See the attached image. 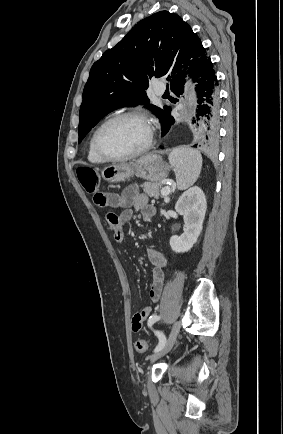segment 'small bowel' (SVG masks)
Returning <instances> with one entry per match:
<instances>
[{"mask_svg": "<svg viewBox=\"0 0 283 434\" xmlns=\"http://www.w3.org/2000/svg\"><path fill=\"white\" fill-rule=\"evenodd\" d=\"M94 203L98 207L108 208L106 222L117 243H121L124 239L123 227L131 219L132 210L140 211L145 221H150L155 213L147 197L139 193L135 186L127 187L121 194L98 192L94 195ZM114 208H121L122 212L118 214L112 210ZM147 256L153 265L149 298L152 302H157L166 284L165 269L168 262L162 253L152 248L147 249ZM150 315L151 307L149 306L135 314L132 318V330L138 332Z\"/></svg>", "mask_w": 283, "mask_h": 434, "instance_id": "1", "label": "small bowel"}]
</instances>
